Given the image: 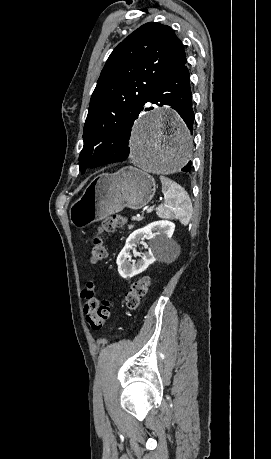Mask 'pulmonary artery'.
<instances>
[{"label": "pulmonary artery", "instance_id": "obj_1", "mask_svg": "<svg viewBox=\"0 0 271 459\" xmlns=\"http://www.w3.org/2000/svg\"><path fill=\"white\" fill-rule=\"evenodd\" d=\"M145 108H146L147 110H152V109L154 108V103H153L152 101H147V102L145 103Z\"/></svg>", "mask_w": 271, "mask_h": 459}]
</instances>
